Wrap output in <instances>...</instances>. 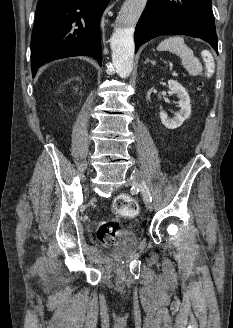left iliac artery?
I'll return each mask as SVG.
<instances>
[{
  "label": "left iliac artery",
  "mask_w": 233,
  "mask_h": 328,
  "mask_svg": "<svg viewBox=\"0 0 233 328\" xmlns=\"http://www.w3.org/2000/svg\"><path fill=\"white\" fill-rule=\"evenodd\" d=\"M140 190L142 191L145 198L152 201L151 193L146 185V183L143 181L141 185H139Z\"/></svg>",
  "instance_id": "obj_1"
}]
</instances>
